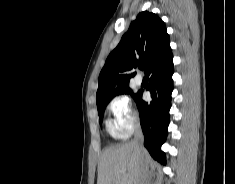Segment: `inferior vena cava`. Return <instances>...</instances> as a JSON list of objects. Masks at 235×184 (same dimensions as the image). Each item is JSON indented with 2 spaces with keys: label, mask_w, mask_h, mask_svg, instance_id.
Here are the masks:
<instances>
[{
  "label": "inferior vena cava",
  "mask_w": 235,
  "mask_h": 184,
  "mask_svg": "<svg viewBox=\"0 0 235 184\" xmlns=\"http://www.w3.org/2000/svg\"><path fill=\"white\" fill-rule=\"evenodd\" d=\"M143 142H144V136L142 134V130L139 124H137L135 130L134 142H132V144H134L136 150H140V148H142L143 146Z\"/></svg>",
  "instance_id": "1"
}]
</instances>
